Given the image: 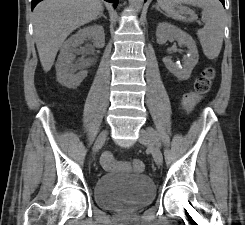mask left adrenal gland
Here are the masks:
<instances>
[{"label":"left adrenal gland","instance_id":"obj_1","mask_svg":"<svg viewBox=\"0 0 245 225\" xmlns=\"http://www.w3.org/2000/svg\"><path fill=\"white\" fill-rule=\"evenodd\" d=\"M153 7H155L157 11H160L161 12V10L159 9V7L157 5L156 6H153Z\"/></svg>","mask_w":245,"mask_h":225}]
</instances>
